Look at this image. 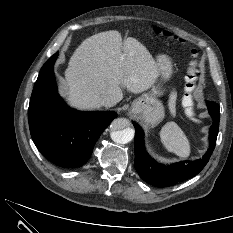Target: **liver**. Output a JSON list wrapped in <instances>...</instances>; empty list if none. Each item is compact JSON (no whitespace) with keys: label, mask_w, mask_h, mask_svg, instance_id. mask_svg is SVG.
I'll return each mask as SVG.
<instances>
[{"label":"liver","mask_w":233,"mask_h":233,"mask_svg":"<svg viewBox=\"0 0 233 233\" xmlns=\"http://www.w3.org/2000/svg\"><path fill=\"white\" fill-rule=\"evenodd\" d=\"M157 77V63L147 48L133 37L123 44L121 34L111 30L85 39L75 50L65 71L64 87L71 106L94 110L102 106L101 99L106 96L115 104L120 102L122 87L141 93ZM174 97L172 93L171 100Z\"/></svg>","instance_id":"6515ba94"}]
</instances>
